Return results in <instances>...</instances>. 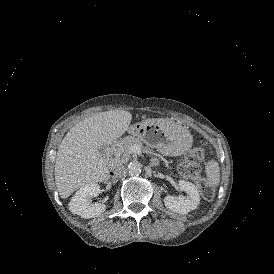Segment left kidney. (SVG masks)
<instances>
[{
  "label": "left kidney",
  "instance_id": "left-kidney-1",
  "mask_svg": "<svg viewBox=\"0 0 274 274\" xmlns=\"http://www.w3.org/2000/svg\"><path fill=\"white\" fill-rule=\"evenodd\" d=\"M178 184L180 189L187 195L182 194L178 199L169 195L165 197L164 202L170 210L180 214H187L197 208L200 202V194L197 187L187 180L180 179Z\"/></svg>",
  "mask_w": 274,
  "mask_h": 274
}]
</instances>
